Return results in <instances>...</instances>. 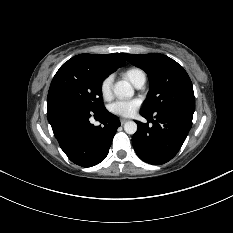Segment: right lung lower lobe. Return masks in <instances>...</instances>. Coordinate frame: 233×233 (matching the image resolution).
<instances>
[{
	"label": "right lung lower lobe",
	"instance_id": "98d812e1",
	"mask_svg": "<svg viewBox=\"0 0 233 233\" xmlns=\"http://www.w3.org/2000/svg\"><path fill=\"white\" fill-rule=\"evenodd\" d=\"M47 109L53 133L73 163L91 167L104 160L120 126L115 115L105 108L95 112L70 104L50 105ZM93 114L102 117V125L90 123L89 118Z\"/></svg>",
	"mask_w": 233,
	"mask_h": 233
}]
</instances>
